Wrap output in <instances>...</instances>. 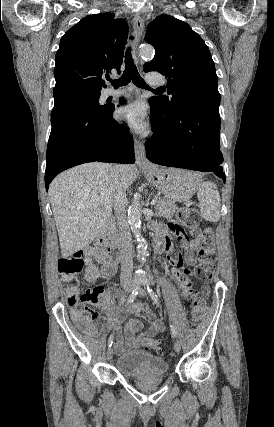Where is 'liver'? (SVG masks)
Segmentation results:
<instances>
[{
    "instance_id": "6515ba94",
    "label": "liver",
    "mask_w": 274,
    "mask_h": 427,
    "mask_svg": "<svg viewBox=\"0 0 274 427\" xmlns=\"http://www.w3.org/2000/svg\"><path fill=\"white\" fill-rule=\"evenodd\" d=\"M134 166L114 172L111 164H82L54 178L49 186L61 253L73 255L87 247L112 214L114 194L124 182L128 190L135 178Z\"/></svg>"
}]
</instances>
